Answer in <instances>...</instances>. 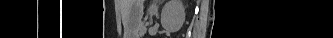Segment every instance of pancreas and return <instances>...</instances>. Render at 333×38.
Masks as SVG:
<instances>
[{"mask_svg": "<svg viewBox=\"0 0 333 38\" xmlns=\"http://www.w3.org/2000/svg\"><path fill=\"white\" fill-rule=\"evenodd\" d=\"M141 32H142V33H145V32H146V26H145V25L142 26Z\"/></svg>", "mask_w": 333, "mask_h": 38, "instance_id": "obj_1", "label": "pancreas"}]
</instances>
